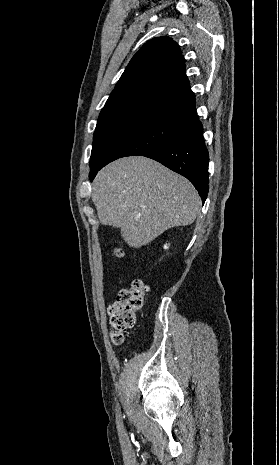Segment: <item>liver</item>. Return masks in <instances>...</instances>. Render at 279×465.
Returning <instances> with one entry per match:
<instances>
[{
	"label": "liver",
	"instance_id": "1",
	"mask_svg": "<svg viewBox=\"0 0 279 465\" xmlns=\"http://www.w3.org/2000/svg\"><path fill=\"white\" fill-rule=\"evenodd\" d=\"M91 196L100 222L120 228L133 248L170 228L192 224L201 204L186 178L143 156L124 157L100 170Z\"/></svg>",
	"mask_w": 279,
	"mask_h": 465
}]
</instances>
